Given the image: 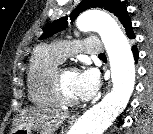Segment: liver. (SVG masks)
<instances>
[{
	"label": "liver",
	"mask_w": 153,
	"mask_h": 134,
	"mask_svg": "<svg viewBox=\"0 0 153 134\" xmlns=\"http://www.w3.org/2000/svg\"><path fill=\"white\" fill-rule=\"evenodd\" d=\"M67 116V113L60 110L30 108L21 112L18 126H29L42 130L44 134H51Z\"/></svg>",
	"instance_id": "liver-1"
}]
</instances>
